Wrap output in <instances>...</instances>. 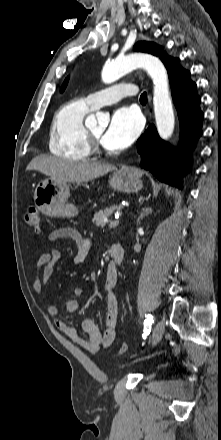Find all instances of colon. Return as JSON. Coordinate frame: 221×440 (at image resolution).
Listing matches in <instances>:
<instances>
[{
  "instance_id": "colon-1",
  "label": "colon",
  "mask_w": 221,
  "mask_h": 440,
  "mask_svg": "<svg viewBox=\"0 0 221 440\" xmlns=\"http://www.w3.org/2000/svg\"><path fill=\"white\" fill-rule=\"evenodd\" d=\"M26 223L27 225L34 229L35 231H40L41 229V215L37 208L30 207L26 213ZM127 344L122 343L119 348V353L124 354L127 351Z\"/></svg>"
}]
</instances>
